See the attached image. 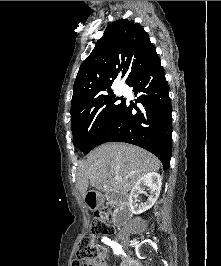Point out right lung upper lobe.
Listing matches in <instances>:
<instances>
[{"mask_svg": "<svg viewBox=\"0 0 221 266\" xmlns=\"http://www.w3.org/2000/svg\"><path fill=\"white\" fill-rule=\"evenodd\" d=\"M159 60L143 27L127 19L111 23L91 54L82 62L74 82L71 118L91 107L111 86L120 72L126 84Z\"/></svg>", "mask_w": 221, "mask_h": 266, "instance_id": "cb5924a9", "label": "right lung upper lobe"}]
</instances>
